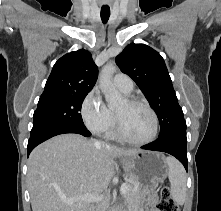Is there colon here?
I'll use <instances>...</instances> for the list:
<instances>
[{
    "label": "colon",
    "instance_id": "5ec220e1",
    "mask_svg": "<svg viewBox=\"0 0 221 211\" xmlns=\"http://www.w3.org/2000/svg\"><path fill=\"white\" fill-rule=\"evenodd\" d=\"M157 209L158 211H179L178 206L173 200L168 187L162 188Z\"/></svg>",
    "mask_w": 221,
    "mask_h": 211
}]
</instances>
